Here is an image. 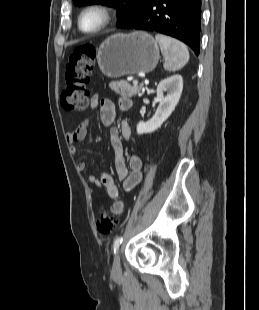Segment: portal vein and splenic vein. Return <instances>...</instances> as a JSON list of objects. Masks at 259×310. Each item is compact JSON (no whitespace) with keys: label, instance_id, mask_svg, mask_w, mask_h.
<instances>
[{"label":"portal vein and splenic vein","instance_id":"18ae733b","mask_svg":"<svg viewBox=\"0 0 259 310\" xmlns=\"http://www.w3.org/2000/svg\"><path fill=\"white\" fill-rule=\"evenodd\" d=\"M133 85L134 86L138 85V80H133Z\"/></svg>","mask_w":259,"mask_h":310}]
</instances>
